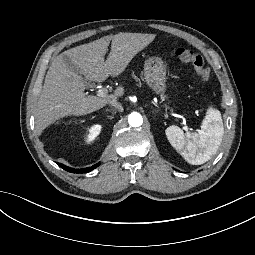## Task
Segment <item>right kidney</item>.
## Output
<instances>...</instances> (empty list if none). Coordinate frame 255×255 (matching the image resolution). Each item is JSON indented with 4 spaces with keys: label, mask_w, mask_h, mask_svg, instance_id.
<instances>
[{
    "label": "right kidney",
    "mask_w": 255,
    "mask_h": 255,
    "mask_svg": "<svg viewBox=\"0 0 255 255\" xmlns=\"http://www.w3.org/2000/svg\"><path fill=\"white\" fill-rule=\"evenodd\" d=\"M100 130H101V127L98 125L92 127V129L90 130L91 135L87 136V140L90 141L94 139L99 134Z\"/></svg>",
    "instance_id": "ca27d5eb"
}]
</instances>
